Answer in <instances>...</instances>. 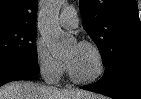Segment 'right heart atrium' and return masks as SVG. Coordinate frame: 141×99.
<instances>
[{
    "instance_id": "d8ad5b80",
    "label": "right heart atrium",
    "mask_w": 141,
    "mask_h": 99,
    "mask_svg": "<svg viewBox=\"0 0 141 99\" xmlns=\"http://www.w3.org/2000/svg\"><path fill=\"white\" fill-rule=\"evenodd\" d=\"M34 58L44 80L55 83L62 78L65 72L64 62L54 57L41 40L36 41L34 45Z\"/></svg>"
}]
</instances>
